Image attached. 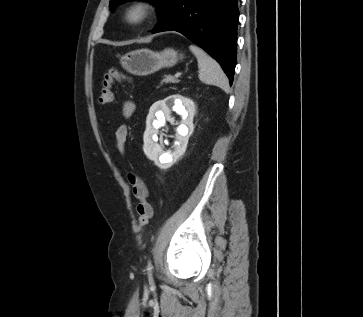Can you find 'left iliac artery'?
<instances>
[{
    "label": "left iliac artery",
    "mask_w": 363,
    "mask_h": 317,
    "mask_svg": "<svg viewBox=\"0 0 363 317\" xmlns=\"http://www.w3.org/2000/svg\"><path fill=\"white\" fill-rule=\"evenodd\" d=\"M148 271H149V274H151V270H152V265H151V263L149 262V264H148Z\"/></svg>",
    "instance_id": "1"
}]
</instances>
